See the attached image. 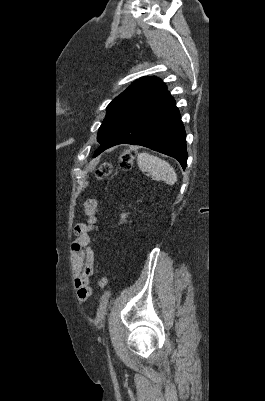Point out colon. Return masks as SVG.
Masks as SVG:
<instances>
[{"instance_id":"colon-1","label":"colon","mask_w":265,"mask_h":401,"mask_svg":"<svg viewBox=\"0 0 265 401\" xmlns=\"http://www.w3.org/2000/svg\"><path fill=\"white\" fill-rule=\"evenodd\" d=\"M135 156H136V153L134 150H132V149L124 150L119 156L120 166L125 170L130 169L133 166ZM110 172H111V164L103 163L96 170V173H95L96 179L102 180L105 177H107L110 174ZM107 283H108V281L105 276H102L99 279V285L102 289L107 288Z\"/></svg>"}]
</instances>
